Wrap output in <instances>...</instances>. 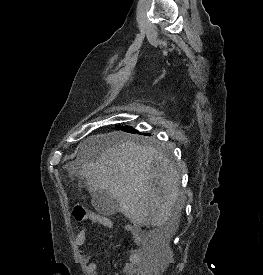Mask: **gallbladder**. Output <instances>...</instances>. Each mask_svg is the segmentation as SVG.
Returning <instances> with one entry per match:
<instances>
[{"label": "gallbladder", "mask_w": 263, "mask_h": 275, "mask_svg": "<svg viewBox=\"0 0 263 275\" xmlns=\"http://www.w3.org/2000/svg\"><path fill=\"white\" fill-rule=\"evenodd\" d=\"M92 205L104 216H111L120 211L117 200L106 190H97L92 193Z\"/></svg>", "instance_id": "bac80fb5"}]
</instances>
